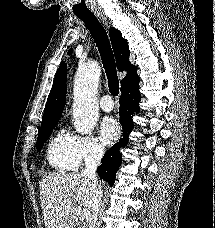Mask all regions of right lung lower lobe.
<instances>
[{"label": "right lung lower lobe", "instance_id": "98d812e1", "mask_svg": "<svg viewBox=\"0 0 215 228\" xmlns=\"http://www.w3.org/2000/svg\"><path fill=\"white\" fill-rule=\"evenodd\" d=\"M139 101V77L135 74L126 78L121 85L119 115L123 137L105 153L102 164L97 168L99 176L107 181L110 186L114 185L116 172L122 162L120 148L128 144L129 132L133 127L132 117L139 113Z\"/></svg>", "mask_w": 215, "mask_h": 228}]
</instances>
